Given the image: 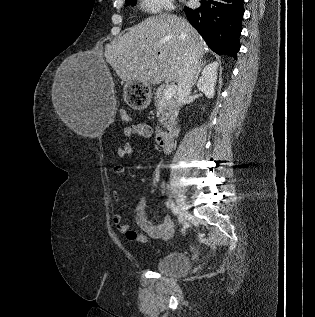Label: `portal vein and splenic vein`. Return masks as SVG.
<instances>
[{
    "mask_svg": "<svg viewBox=\"0 0 315 317\" xmlns=\"http://www.w3.org/2000/svg\"><path fill=\"white\" fill-rule=\"evenodd\" d=\"M176 88H177L176 85H171L167 87L166 90L164 91V98L171 99L176 92Z\"/></svg>",
    "mask_w": 315,
    "mask_h": 317,
    "instance_id": "18ae733b",
    "label": "portal vein and splenic vein"
}]
</instances>
